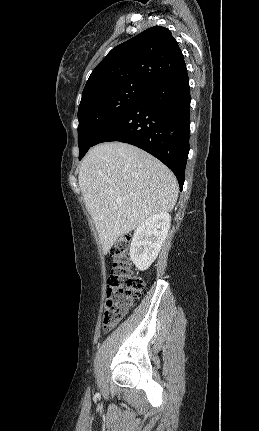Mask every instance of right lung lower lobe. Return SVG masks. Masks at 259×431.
<instances>
[{
	"label": "right lung lower lobe",
	"instance_id": "98d812e1",
	"mask_svg": "<svg viewBox=\"0 0 259 431\" xmlns=\"http://www.w3.org/2000/svg\"><path fill=\"white\" fill-rule=\"evenodd\" d=\"M190 100L185 70L149 88L94 145L120 141L147 151L173 171L182 190L189 153Z\"/></svg>",
	"mask_w": 259,
	"mask_h": 431
}]
</instances>
